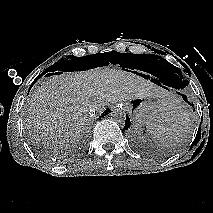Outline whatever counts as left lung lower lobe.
Here are the masks:
<instances>
[{"mask_svg":"<svg viewBox=\"0 0 213 213\" xmlns=\"http://www.w3.org/2000/svg\"><path fill=\"white\" fill-rule=\"evenodd\" d=\"M150 74H152L154 76L153 78H151V81L154 82L155 84L162 86L163 88H166V89H168V87H172V88L175 87L173 82L169 78H167L166 76L155 74V73H152V72H150ZM142 76L147 78V79L150 78L148 75H145V74H142ZM177 93L182 95L183 99L191 105V103L188 102L187 97L185 95L181 94L180 92H177ZM129 126H130V119H129L128 116H126L124 128L127 129V128H129Z\"/></svg>","mask_w":213,"mask_h":213,"instance_id":"obj_1","label":"left lung lower lobe"}]
</instances>
